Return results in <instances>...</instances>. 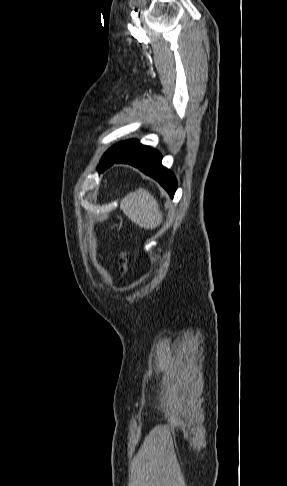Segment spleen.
<instances>
[{
  "instance_id": "1",
  "label": "spleen",
  "mask_w": 287,
  "mask_h": 486,
  "mask_svg": "<svg viewBox=\"0 0 287 486\" xmlns=\"http://www.w3.org/2000/svg\"><path fill=\"white\" fill-rule=\"evenodd\" d=\"M120 208L135 224L144 229H155L162 223L159 204L148 190L139 187L122 199Z\"/></svg>"
}]
</instances>
